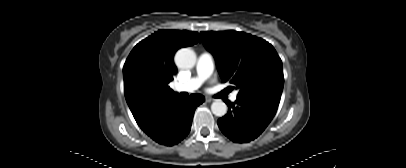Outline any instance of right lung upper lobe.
Instances as JSON below:
<instances>
[{
	"instance_id": "right-lung-upper-lobe-1",
	"label": "right lung upper lobe",
	"mask_w": 406,
	"mask_h": 168,
	"mask_svg": "<svg viewBox=\"0 0 406 168\" xmlns=\"http://www.w3.org/2000/svg\"><path fill=\"white\" fill-rule=\"evenodd\" d=\"M197 42V32L159 30L133 48L123 75L125 98L136 121L177 94L168 86L177 72L173 56Z\"/></svg>"
}]
</instances>
